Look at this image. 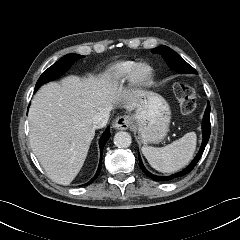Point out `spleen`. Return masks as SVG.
Returning a JSON list of instances; mask_svg holds the SVG:
<instances>
[{
    "label": "spleen",
    "instance_id": "1",
    "mask_svg": "<svg viewBox=\"0 0 240 240\" xmlns=\"http://www.w3.org/2000/svg\"><path fill=\"white\" fill-rule=\"evenodd\" d=\"M195 149L196 134L189 132L161 148L143 146L142 153L155 170L162 173H173L190 162Z\"/></svg>",
    "mask_w": 240,
    "mask_h": 240
}]
</instances>
